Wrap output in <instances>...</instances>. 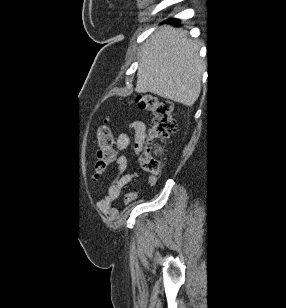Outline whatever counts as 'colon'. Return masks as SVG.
I'll list each match as a JSON object with an SVG mask.
<instances>
[{
  "label": "colon",
  "instance_id": "1",
  "mask_svg": "<svg viewBox=\"0 0 286 308\" xmlns=\"http://www.w3.org/2000/svg\"><path fill=\"white\" fill-rule=\"evenodd\" d=\"M136 105L151 114L148 138L142 148L141 165L143 170L156 176L161 168L163 142L176 130L172 117L173 103L155 95H142L136 98ZM114 134L108 121L97 130V152L93 179L103 175L116 157Z\"/></svg>",
  "mask_w": 286,
  "mask_h": 308
}]
</instances>
